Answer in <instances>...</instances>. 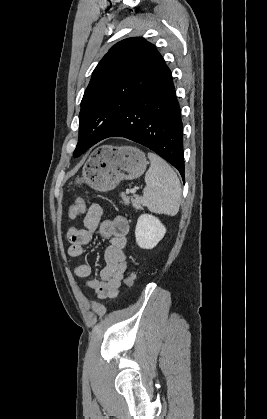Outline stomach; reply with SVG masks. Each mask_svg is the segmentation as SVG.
<instances>
[{
    "label": "stomach",
    "instance_id": "stomach-1",
    "mask_svg": "<svg viewBox=\"0 0 267 419\" xmlns=\"http://www.w3.org/2000/svg\"><path fill=\"white\" fill-rule=\"evenodd\" d=\"M147 164L144 152L137 147L103 145L89 155L75 183H86L96 191L107 192L122 180L140 177Z\"/></svg>",
    "mask_w": 267,
    "mask_h": 419
}]
</instances>
